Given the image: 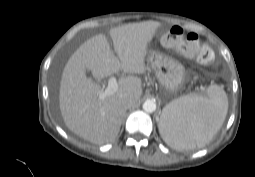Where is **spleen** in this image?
<instances>
[{"label": "spleen", "mask_w": 255, "mask_h": 177, "mask_svg": "<svg viewBox=\"0 0 255 177\" xmlns=\"http://www.w3.org/2000/svg\"><path fill=\"white\" fill-rule=\"evenodd\" d=\"M228 110L226 93L212 85L207 95H186L168 104L162 112L159 131L176 150H189L209 143L221 128Z\"/></svg>", "instance_id": "spleen-1"}]
</instances>
